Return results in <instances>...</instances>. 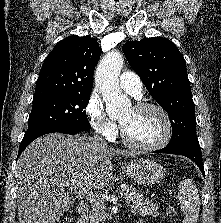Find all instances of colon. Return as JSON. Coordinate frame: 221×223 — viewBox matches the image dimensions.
<instances>
[{
  "mask_svg": "<svg viewBox=\"0 0 221 223\" xmlns=\"http://www.w3.org/2000/svg\"><path fill=\"white\" fill-rule=\"evenodd\" d=\"M168 213L169 215H173L174 210L172 208H169ZM57 223H72V221L69 218H63V219H60Z\"/></svg>",
  "mask_w": 221,
  "mask_h": 223,
  "instance_id": "1",
  "label": "colon"
}]
</instances>
